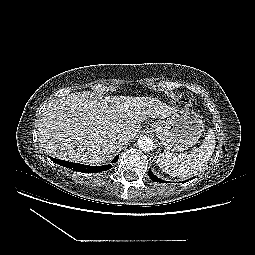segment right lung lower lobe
Masks as SVG:
<instances>
[{
    "label": "right lung lower lobe",
    "mask_w": 255,
    "mask_h": 255,
    "mask_svg": "<svg viewBox=\"0 0 255 255\" xmlns=\"http://www.w3.org/2000/svg\"><path fill=\"white\" fill-rule=\"evenodd\" d=\"M118 156H116L112 163H115L118 160ZM54 163H57L61 166L70 168L74 171L82 172V173H97L101 171H107L112 168L111 164L105 165V166H89V165H84V164H78V163H73L69 161H64L60 159H56L53 157H49Z\"/></svg>",
    "instance_id": "obj_1"
}]
</instances>
